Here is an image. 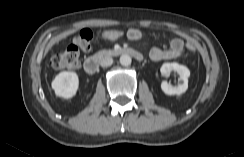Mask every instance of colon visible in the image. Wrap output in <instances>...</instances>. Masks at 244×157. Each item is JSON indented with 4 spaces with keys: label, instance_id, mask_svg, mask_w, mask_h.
Returning a JSON list of instances; mask_svg holds the SVG:
<instances>
[{
    "label": "colon",
    "instance_id": "colon-1",
    "mask_svg": "<svg viewBox=\"0 0 244 157\" xmlns=\"http://www.w3.org/2000/svg\"><path fill=\"white\" fill-rule=\"evenodd\" d=\"M102 38L108 41H116L124 36V32L117 29L106 30L102 33ZM93 34L89 29H83L77 33L72 43L62 52L57 53L51 57V65L57 70H74L77 69L79 60V51L90 48ZM187 50L192 52L195 50L193 44H187Z\"/></svg>",
    "mask_w": 244,
    "mask_h": 157
}]
</instances>
